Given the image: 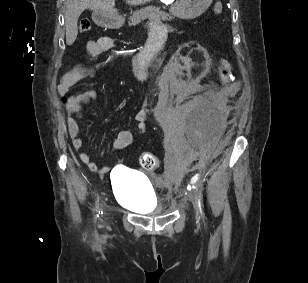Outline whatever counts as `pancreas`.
Returning <instances> with one entry per match:
<instances>
[{"mask_svg": "<svg viewBox=\"0 0 308 283\" xmlns=\"http://www.w3.org/2000/svg\"><path fill=\"white\" fill-rule=\"evenodd\" d=\"M145 19L170 21L174 19V17L170 16L164 11H161L158 7L148 6L138 11H135L129 17L128 24L129 26H135L138 25L141 20Z\"/></svg>", "mask_w": 308, "mask_h": 283, "instance_id": "cf45deb5", "label": "pancreas"}]
</instances>
